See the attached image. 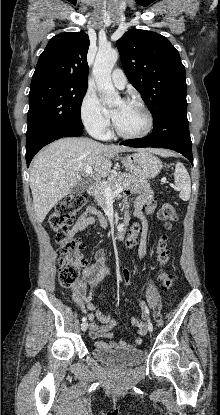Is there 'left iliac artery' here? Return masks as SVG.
<instances>
[{"label": "left iliac artery", "mask_w": 220, "mask_h": 415, "mask_svg": "<svg viewBox=\"0 0 220 415\" xmlns=\"http://www.w3.org/2000/svg\"><path fill=\"white\" fill-rule=\"evenodd\" d=\"M141 308L149 316V309L147 305L145 304V302H141Z\"/></svg>", "instance_id": "44dca946"}]
</instances>
